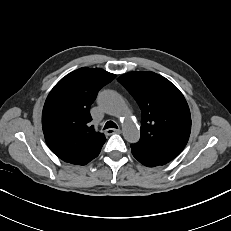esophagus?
Returning a JSON list of instances; mask_svg holds the SVG:
<instances>
[{"label": "esophagus", "instance_id": "obj_1", "mask_svg": "<svg viewBox=\"0 0 231 231\" xmlns=\"http://www.w3.org/2000/svg\"><path fill=\"white\" fill-rule=\"evenodd\" d=\"M120 132H121L120 129H107V130L105 131V133H106L107 135H110V134H113V133H120Z\"/></svg>", "mask_w": 231, "mask_h": 231}]
</instances>
